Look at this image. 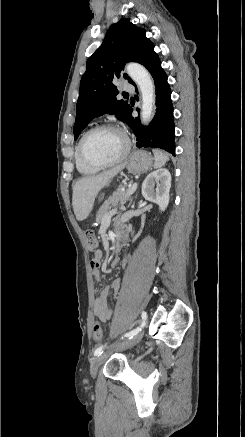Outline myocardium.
<instances>
[{
  "label": "myocardium",
  "mask_w": 245,
  "mask_h": 437,
  "mask_svg": "<svg viewBox=\"0 0 245 437\" xmlns=\"http://www.w3.org/2000/svg\"><path fill=\"white\" fill-rule=\"evenodd\" d=\"M101 130H114V131L119 132L122 135V137L124 139V143H125L123 152L116 159L108 161V162L94 161L86 155L85 150H84V144H85L86 139L91 134L98 132V131H101ZM130 149H131V142H130L128 135L125 133V131L122 128H120L117 125L111 124V123H103V124H98L96 126H93L92 128L87 130L82 135V137L80 138L79 143H78V151H79L81 159L87 165L95 167V168H99V169L112 167L114 165L121 163L129 155Z\"/></svg>",
  "instance_id": "obj_1"
}]
</instances>
